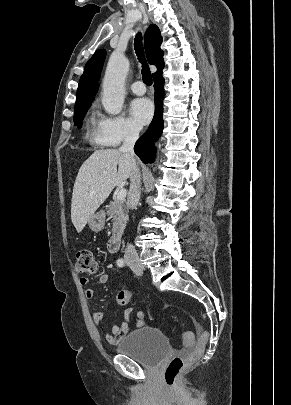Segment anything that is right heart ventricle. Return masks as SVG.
<instances>
[{
	"instance_id": "right-heart-ventricle-1",
	"label": "right heart ventricle",
	"mask_w": 291,
	"mask_h": 405,
	"mask_svg": "<svg viewBox=\"0 0 291 405\" xmlns=\"http://www.w3.org/2000/svg\"><path fill=\"white\" fill-rule=\"evenodd\" d=\"M94 122V118L90 119V123ZM88 136L90 139H92L95 143L100 144L97 136V131H95L92 127L89 128L88 130Z\"/></svg>"
}]
</instances>
